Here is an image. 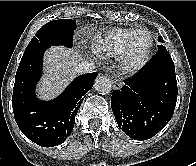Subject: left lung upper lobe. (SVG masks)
Wrapping results in <instances>:
<instances>
[{
    "label": "left lung upper lobe",
    "instance_id": "1",
    "mask_svg": "<svg viewBox=\"0 0 196 166\" xmlns=\"http://www.w3.org/2000/svg\"><path fill=\"white\" fill-rule=\"evenodd\" d=\"M158 41L161 42V43L164 42V40H163L161 37H158ZM162 47H163V45H159V46H158V50H159L160 48H162Z\"/></svg>",
    "mask_w": 196,
    "mask_h": 166
}]
</instances>
